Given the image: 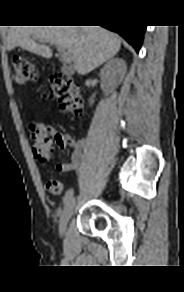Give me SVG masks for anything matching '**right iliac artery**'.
Instances as JSON below:
<instances>
[{
    "mask_svg": "<svg viewBox=\"0 0 184 292\" xmlns=\"http://www.w3.org/2000/svg\"><path fill=\"white\" fill-rule=\"evenodd\" d=\"M73 193H74V190H73V189H69V190L65 193V195H64V197H63V202H64L65 204H66V203L72 198Z\"/></svg>",
    "mask_w": 184,
    "mask_h": 292,
    "instance_id": "1",
    "label": "right iliac artery"
}]
</instances>
